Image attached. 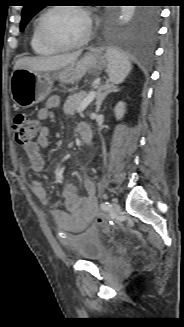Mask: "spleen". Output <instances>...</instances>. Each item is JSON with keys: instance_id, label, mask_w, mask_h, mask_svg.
Returning a JSON list of instances; mask_svg holds the SVG:
<instances>
[{"instance_id": "1", "label": "spleen", "mask_w": 184, "mask_h": 327, "mask_svg": "<svg viewBox=\"0 0 184 327\" xmlns=\"http://www.w3.org/2000/svg\"><path fill=\"white\" fill-rule=\"evenodd\" d=\"M108 61V74L112 83H121L132 69L128 57L117 49H108L106 53Z\"/></svg>"}]
</instances>
